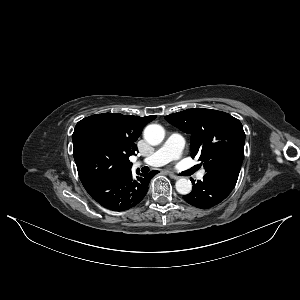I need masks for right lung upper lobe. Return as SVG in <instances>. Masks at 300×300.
<instances>
[{
	"mask_svg": "<svg viewBox=\"0 0 300 300\" xmlns=\"http://www.w3.org/2000/svg\"><path fill=\"white\" fill-rule=\"evenodd\" d=\"M155 118L156 116L139 117L103 113L84 119L96 123L116 145L121 156L130 163L129 157L135 155L137 151L135 142L143 127Z\"/></svg>",
	"mask_w": 300,
	"mask_h": 300,
	"instance_id": "cb5924a9",
	"label": "right lung upper lobe"
}]
</instances>
